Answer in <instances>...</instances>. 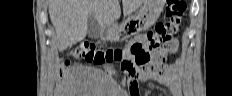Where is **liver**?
Masks as SVG:
<instances>
[{
    "mask_svg": "<svg viewBox=\"0 0 232 96\" xmlns=\"http://www.w3.org/2000/svg\"><path fill=\"white\" fill-rule=\"evenodd\" d=\"M123 13L129 16L145 0H123ZM94 14L103 29L115 26L121 16L119 0H50L49 15L56 30L59 51L82 41L87 34L88 17Z\"/></svg>",
    "mask_w": 232,
    "mask_h": 96,
    "instance_id": "1",
    "label": "liver"
}]
</instances>
